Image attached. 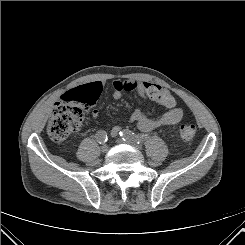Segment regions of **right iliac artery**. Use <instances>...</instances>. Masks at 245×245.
Here are the masks:
<instances>
[{"label":"right iliac artery","mask_w":245,"mask_h":245,"mask_svg":"<svg viewBox=\"0 0 245 245\" xmlns=\"http://www.w3.org/2000/svg\"><path fill=\"white\" fill-rule=\"evenodd\" d=\"M95 137H96L98 143H100V144L106 143L108 140L107 133L103 130L98 131L96 133Z\"/></svg>","instance_id":"82829eb1"}]
</instances>
